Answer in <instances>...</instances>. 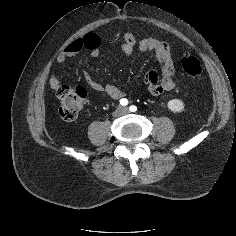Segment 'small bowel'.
I'll list each match as a JSON object with an SVG mask.
<instances>
[{
	"label": "small bowel",
	"mask_w": 236,
	"mask_h": 236,
	"mask_svg": "<svg viewBox=\"0 0 236 236\" xmlns=\"http://www.w3.org/2000/svg\"><path fill=\"white\" fill-rule=\"evenodd\" d=\"M115 40V36L111 41ZM101 36L95 32H88L71 41L67 47L62 51L57 61L64 62L69 58H73L82 51H89L93 57H97L100 53ZM121 49L126 55H132L135 51L145 53L152 52L155 55L156 61L160 68V72L152 69L147 72L144 78V85L147 91L152 96H160L166 91H170L175 87L174 77L176 74V67L172 58L171 44L165 39L143 38L138 43L135 36L131 32L124 35ZM84 80L87 86L96 92H103L112 99L118 100L124 96V92L113 84H102L98 82L93 75L85 71ZM50 87L53 90H58L62 85L59 77L52 74L49 78Z\"/></svg>",
	"instance_id": "small-bowel-1"
}]
</instances>
